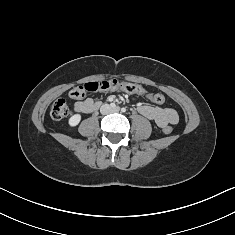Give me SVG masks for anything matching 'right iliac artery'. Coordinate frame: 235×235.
Listing matches in <instances>:
<instances>
[{"instance_id":"1","label":"right iliac artery","mask_w":235,"mask_h":235,"mask_svg":"<svg viewBox=\"0 0 235 235\" xmlns=\"http://www.w3.org/2000/svg\"><path fill=\"white\" fill-rule=\"evenodd\" d=\"M110 106H111L112 108H115V107H116L115 103H111Z\"/></svg>"}]
</instances>
